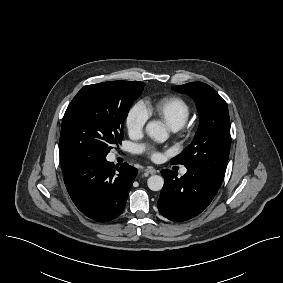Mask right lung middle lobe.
<instances>
[{
    "label": "right lung middle lobe",
    "instance_id": "right-lung-middle-lobe-1",
    "mask_svg": "<svg viewBox=\"0 0 283 283\" xmlns=\"http://www.w3.org/2000/svg\"><path fill=\"white\" fill-rule=\"evenodd\" d=\"M144 84L111 81L84 86L69 104L61 127L60 156L80 158L108 152L123 137L124 121Z\"/></svg>",
    "mask_w": 283,
    "mask_h": 283
}]
</instances>
